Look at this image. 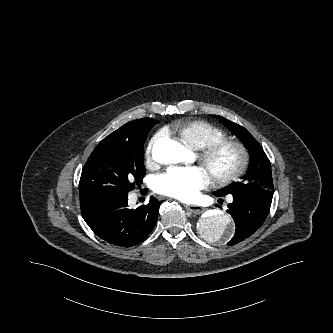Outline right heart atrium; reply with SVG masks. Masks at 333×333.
<instances>
[{
    "label": "right heart atrium",
    "mask_w": 333,
    "mask_h": 333,
    "mask_svg": "<svg viewBox=\"0 0 333 333\" xmlns=\"http://www.w3.org/2000/svg\"><path fill=\"white\" fill-rule=\"evenodd\" d=\"M156 139H157V136H154L153 138H151V140L147 144L145 155H146V159L148 162L152 161V149H153V145H154Z\"/></svg>",
    "instance_id": "1"
}]
</instances>
